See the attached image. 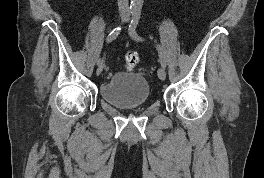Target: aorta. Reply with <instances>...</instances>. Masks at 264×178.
I'll list each match as a JSON object with an SVG mask.
<instances>
[{
	"mask_svg": "<svg viewBox=\"0 0 264 178\" xmlns=\"http://www.w3.org/2000/svg\"><path fill=\"white\" fill-rule=\"evenodd\" d=\"M144 0H131V11L140 12L143 6Z\"/></svg>",
	"mask_w": 264,
	"mask_h": 178,
	"instance_id": "aorta-1",
	"label": "aorta"
}]
</instances>
